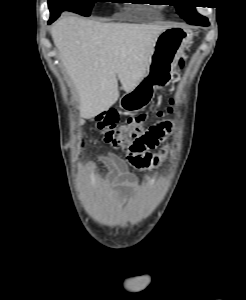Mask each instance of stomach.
<instances>
[{
    "instance_id": "obj_1",
    "label": "stomach",
    "mask_w": 246,
    "mask_h": 300,
    "mask_svg": "<svg viewBox=\"0 0 246 300\" xmlns=\"http://www.w3.org/2000/svg\"><path fill=\"white\" fill-rule=\"evenodd\" d=\"M192 38V31L185 28L169 27L164 30L155 42L146 75L133 90L120 98V107L128 112L144 109L156 89L171 81L174 66Z\"/></svg>"
}]
</instances>
